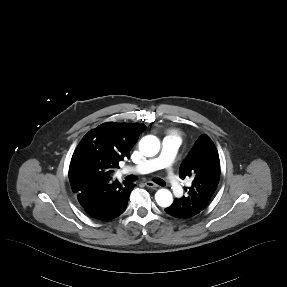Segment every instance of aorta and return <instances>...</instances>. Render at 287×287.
<instances>
[{
  "instance_id": "obj_1",
  "label": "aorta",
  "mask_w": 287,
  "mask_h": 287,
  "mask_svg": "<svg viewBox=\"0 0 287 287\" xmlns=\"http://www.w3.org/2000/svg\"><path fill=\"white\" fill-rule=\"evenodd\" d=\"M160 149L159 139L153 135L143 137L139 142V150L146 157L155 156ZM155 200L161 207H169L173 202L172 193L167 189H159L155 194Z\"/></svg>"
}]
</instances>
